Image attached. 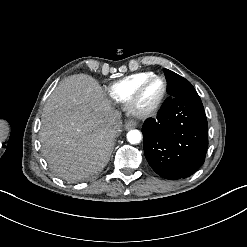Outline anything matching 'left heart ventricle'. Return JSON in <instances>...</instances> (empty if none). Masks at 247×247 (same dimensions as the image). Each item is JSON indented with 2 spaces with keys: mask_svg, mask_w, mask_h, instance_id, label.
<instances>
[{
  "mask_svg": "<svg viewBox=\"0 0 247 247\" xmlns=\"http://www.w3.org/2000/svg\"><path fill=\"white\" fill-rule=\"evenodd\" d=\"M164 91V84L160 80H152L148 82L142 89L139 104L143 108H147L156 103Z\"/></svg>",
  "mask_w": 247,
  "mask_h": 247,
  "instance_id": "left-heart-ventricle-1",
  "label": "left heart ventricle"
}]
</instances>
